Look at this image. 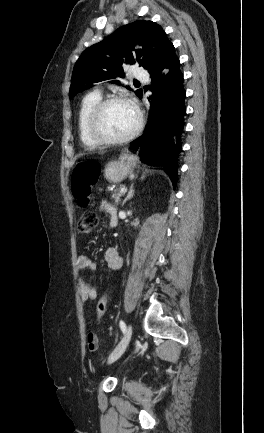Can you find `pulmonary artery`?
I'll list each match as a JSON object with an SVG mask.
<instances>
[{"label":"pulmonary artery","instance_id":"e3ab8cb5","mask_svg":"<svg viewBox=\"0 0 264 433\" xmlns=\"http://www.w3.org/2000/svg\"><path fill=\"white\" fill-rule=\"evenodd\" d=\"M134 77L138 80H145L148 78V73L142 68H136L134 70Z\"/></svg>","mask_w":264,"mask_h":433}]
</instances>
